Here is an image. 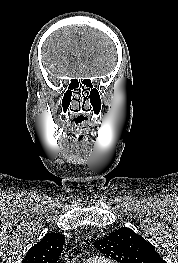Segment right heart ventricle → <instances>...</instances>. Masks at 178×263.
Returning <instances> with one entry per match:
<instances>
[{
	"label": "right heart ventricle",
	"mask_w": 178,
	"mask_h": 263,
	"mask_svg": "<svg viewBox=\"0 0 178 263\" xmlns=\"http://www.w3.org/2000/svg\"><path fill=\"white\" fill-rule=\"evenodd\" d=\"M86 263H110V262H93V261L88 260Z\"/></svg>",
	"instance_id": "obj_1"
}]
</instances>
